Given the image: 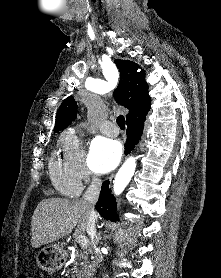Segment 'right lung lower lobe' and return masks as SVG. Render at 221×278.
<instances>
[{"label":"right lung lower lobe","instance_id":"98d812e1","mask_svg":"<svg viewBox=\"0 0 221 278\" xmlns=\"http://www.w3.org/2000/svg\"><path fill=\"white\" fill-rule=\"evenodd\" d=\"M145 118L133 119L127 122V141L125 143V154H128L138 143L144 128ZM95 209L107 220L112 222L118 221V215L116 212V201L111 195L109 189V181H105L102 184L100 196Z\"/></svg>","mask_w":221,"mask_h":278}]
</instances>
